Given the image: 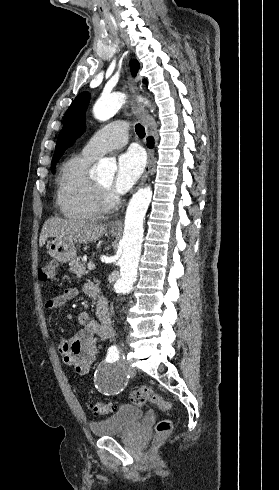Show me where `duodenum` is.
Masks as SVG:
<instances>
[{
	"instance_id": "duodenum-1",
	"label": "duodenum",
	"mask_w": 279,
	"mask_h": 490,
	"mask_svg": "<svg viewBox=\"0 0 279 490\" xmlns=\"http://www.w3.org/2000/svg\"><path fill=\"white\" fill-rule=\"evenodd\" d=\"M97 291H98V288H97V287H95L94 292L96 293Z\"/></svg>"
}]
</instances>
